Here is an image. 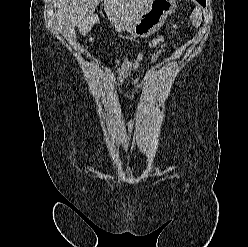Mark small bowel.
<instances>
[{"instance_id":"obj_1","label":"small bowel","mask_w":248,"mask_h":247,"mask_svg":"<svg viewBox=\"0 0 248 247\" xmlns=\"http://www.w3.org/2000/svg\"><path fill=\"white\" fill-rule=\"evenodd\" d=\"M149 48H158V51L152 53L145 57L144 53L140 52L137 55L135 63H131L127 57L122 59H116L115 61V69L118 80V88H122L124 83L127 81L131 85H138L141 83V79L135 76V71L137 69V65L140 61L145 58L151 64L155 63L162 51H164L168 47V41L165 38H157L153 39L149 44ZM121 108L124 110H130L133 108L132 104L121 105Z\"/></svg>"}]
</instances>
